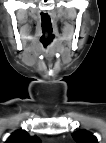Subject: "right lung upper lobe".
Instances as JSON below:
<instances>
[{
    "instance_id": "obj_1",
    "label": "right lung upper lobe",
    "mask_w": 106,
    "mask_h": 143,
    "mask_svg": "<svg viewBox=\"0 0 106 143\" xmlns=\"http://www.w3.org/2000/svg\"><path fill=\"white\" fill-rule=\"evenodd\" d=\"M40 139L35 136H30L24 130H18L11 134L5 143H38Z\"/></svg>"
}]
</instances>
